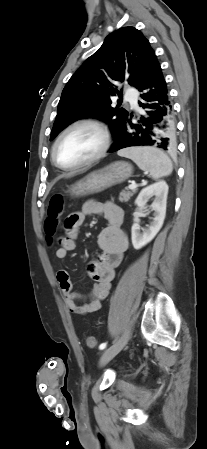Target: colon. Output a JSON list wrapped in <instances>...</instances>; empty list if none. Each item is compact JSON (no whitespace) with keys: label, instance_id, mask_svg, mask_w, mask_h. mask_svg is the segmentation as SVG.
Segmentation results:
<instances>
[{"label":"colon","instance_id":"colon-1","mask_svg":"<svg viewBox=\"0 0 207 449\" xmlns=\"http://www.w3.org/2000/svg\"><path fill=\"white\" fill-rule=\"evenodd\" d=\"M62 214L63 198L60 194H55L50 198L47 205V218L44 224V230L48 236H53L57 232ZM85 344L89 348L96 347V338L92 335H87L85 337Z\"/></svg>","mask_w":207,"mask_h":449}]
</instances>
